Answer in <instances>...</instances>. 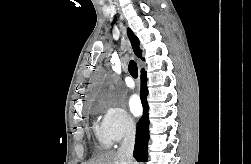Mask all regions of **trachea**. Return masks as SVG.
Segmentation results:
<instances>
[{
	"instance_id": "obj_1",
	"label": "trachea",
	"mask_w": 251,
	"mask_h": 164,
	"mask_svg": "<svg viewBox=\"0 0 251 164\" xmlns=\"http://www.w3.org/2000/svg\"><path fill=\"white\" fill-rule=\"evenodd\" d=\"M128 70L133 78L138 77V68H137V64L135 61H133V60L130 61L129 66H128Z\"/></svg>"
}]
</instances>
